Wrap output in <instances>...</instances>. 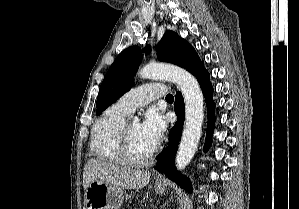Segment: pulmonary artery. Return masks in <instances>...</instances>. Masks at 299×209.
Listing matches in <instances>:
<instances>
[{"label":"pulmonary artery","instance_id":"e3ab8cb5","mask_svg":"<svg viewBox=\"0 0 299 209\" xmlns=\"http://www.w3.org/2000/svg\"><path fill=\"white\" fill-rule=\"evenodd\" d=\"M166 93L167 89L163 83H148L128 91L117 100L115 105L120 111L129 115L137 108L164 96Z\"/></svg>","mask_w":299,"mask_h":209}]
</instances>
